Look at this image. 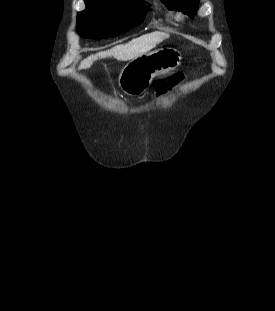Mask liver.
I'll return each instance as SVG.
<instances>
[{"label":"liver","mask_w":275,"mask_h":311,"mask_svg":"<svg viewBox=\"0 0 275 311\" xmlns=\"http://www.w3.org/2000/svg\"><path fill=\"white\" fill-rule=\"evenodd\" d=\"M167 38H169V34L164 32H152L142 35L128 43L117 45L107 51L87 57L81 62L79 69H88L93 65L94 61L108 57H114L119 61L133 60L144 55Z\"/></svg>","instance_id":"1"}]
</instances>
